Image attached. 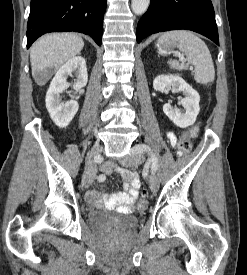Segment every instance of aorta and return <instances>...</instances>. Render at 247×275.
<instances>
[{
  "instance_id": "aorta-1",
  "label": "aorta",
  "mask_w": 247,
  "mask_h": 275,
  "mask_svg": "<svg viewBox=\"0 0 247 275\" xmlns=\"http://www.w3.org/2000/svg\"><path fill=\"white\" fill-rule=\"evenodd\" d=\"M150 4V0H132L131 8L136 15H142L146 12Z\"/></svg>"
}]
</instances>
